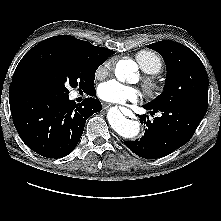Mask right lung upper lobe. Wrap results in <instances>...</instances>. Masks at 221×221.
Returning <instances> with one entry per match:
<instances>
[{
	"label": "right lung upper lobe",
	"mask_w": 221,
	"mask_h": 221,
	"mask_svg": "<svg viewBox=\"0 0 221 221\" xmlns=\"http://www.w3.org/2000/svg\"><path fill=\"white\" fill-rule=\"evenodd\" d=\"M42 45H52L65 48L98 66L104 63L108 56L114 54V51L112 50L104 47L94 46L90 42L79 40L69 35H60L45 39L37 44L35 47H39ZM18 84L20 83L16 79L15 75H13L10 89Z\"/></svg>",
	"instance_id": "cb5924a9"
}]
</instances>
